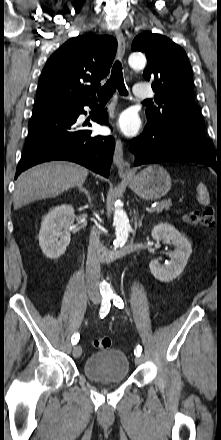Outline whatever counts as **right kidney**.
Here are the masks:
<instances>
[{"mask_svg":"<svg viewBox=\"0 0 221 440\" xmlns=\"http://www.w3.org/2000/svg\"><path fill=\"white\" fill-rule=\"evenodd\" d=\"M71 205L53 208L43 219L39 232V245L49 259H57L66 251L71 240L70 228L74 222Z\"/></svg>","mask_w":221,"mask_h":440,"instance_id":"ca27d5eb","label":"right kidney"}]
</instances>
